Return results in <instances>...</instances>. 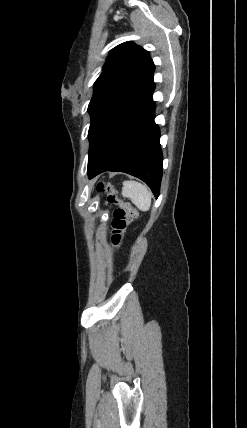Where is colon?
<instances>
[{"label": "colon", "mask_w": 247, "mask_h": 428, "mask_svg": "<svg viewBox=\"0 0 247 428\" xmlns=\"http://www.w3.org/2000/svg\"><path fill=\"white\" fill-rule=\"evenodd\" d=\"M97 190L100 192H106L108 203L115 206L111 219V240L113 244L119 245L124 237V234L126 233L128 226L136 218L137 211L130 203L118 198L112 185L100 182L97 185Z\"/></svg>", "instance_id": "colon-1"}]
</instances>
